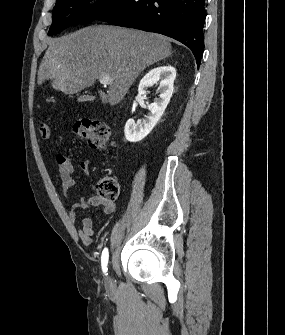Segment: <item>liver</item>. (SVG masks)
I'll return each mask as SVG.
<instances>
[{
  "mask_svg": "<svg viewBox=\"0 0 285 335\" xmlns=\"http://www.w3.org/2000/svg\"><path fill=\"white\" fill-rule=\"evenodd\" d=\"M39 84L51 80L54 90L78 94L100 76L112 78L108 92L98 90L102 104L116 106L139 74L171 54L168 38L120 26H88L69 36L47 40Z\"/></svg>",
  "mask_w": 285,
  "mask_h": 335,
  "instance_id": "liver-1",
  "label": "liver"
}]
</instances>
